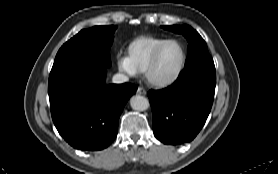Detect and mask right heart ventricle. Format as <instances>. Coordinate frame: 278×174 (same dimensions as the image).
I'll use <instances>...</instances> for the list:
<instances>
[{
    "label": "right heart ventricle",
    "instance_id": "right-heart-ventricle-1",
    "mask_svg": "<svg viewBox=\"0 0 278 174\" xmlns=\"http://www.w3.org/2000/svg\"><path fill=\"white\" fill-rule=\"evenodd\" d=\"M166 39L141 36L128 46V58L137 72H144L153 51Z\"/></svg>",
    "mask_w": 278,
    "mask_h": 174
}]
</instances>
